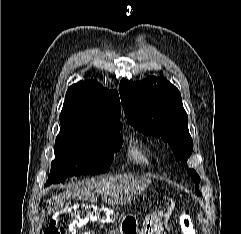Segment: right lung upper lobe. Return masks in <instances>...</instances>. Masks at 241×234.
Here are the masks:
<instances>
[{"label": "right lung upper lobe", "instance_id": "cb5924a9", "mask_svg": "<svg viewBox=\"0 0 241 234\" xmlns=\"http://www.w3.org/2000/svg\"><path fill=\"white\" fill-rule=\"evenodd\" d=\"M120 99L116 90L103 88L96 80L70 86L60 116L86 128H122Z\"/></svg>", "mask_w": 241, "mask_h": 234}]
</instances>
